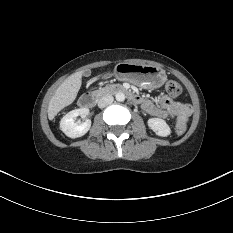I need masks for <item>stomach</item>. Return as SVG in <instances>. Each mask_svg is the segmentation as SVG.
Returning <instances> with one entry per match:
<instances>
[{"instance_id": "stomach-1", "label": "stomach", "mask_w": 233, "mask_h": 233, "mask_svg": "<svg viewBox=\"0 0 233 233\" xmlns=\"http://www.w3.org/2000/svg\"><path fill=\"white\" fill-rule=\"evenodd\" d=\"M114 75L137 85L161 87L166 81L164 70L156 66L122 62L116 65Z\"/></svg>"}]
</instances>
